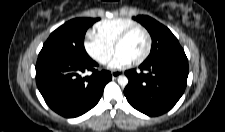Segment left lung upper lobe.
Instances as JSON below:
<instances>
[{"label":"left lung upper lobe","instance_id":"1","mask_svg":"<svg viewBox=\"0 0 225 132\" xmlns=\"http://www.w3.org/2000/svg\"><path fill=\"white\" fill-rule=\"evenodd\" d=\"M135 20L140 22L152 37L150 55L145 61H155L176 55H185L177 38L164 25L149 16L140 15Z\"/></svg>","mask_w":225,"mask_h":132}]
</instances>
